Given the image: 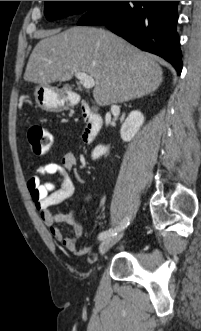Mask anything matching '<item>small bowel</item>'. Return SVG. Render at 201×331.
<instances>
[{
	"instance_id": "small-bowel-1",
	"label": "small bowel",
	"mask_w": 201,
	"mask_h": 331,
	"mask_svg": "<svg viewBox=\"0 0 201 331\" xmlns=\"http://www.w3.org/2000/svg\"><path fill=\"white\" fill-rule=\"evenodd\" d=\"M77 158L73 153L66 154L60 163L47 162L36 168L33 175L27 181V189L30 196L40 212L43 223L49 228L52 236L59 241L68 251L82 256L89 252V248H80L77 245L78 239L83 233V224L78 212L72 210L67 214H53L52 206L70 198L74 193V184L70 173L73 171ZM55 175L56 181H43L46 176ZM81 182L85 178L79 177ZM93 197L88 193L83 199V205L88 204ZM71 225L74 229L73 235L67 237L59 228V224Z\"/></svg>"
}]
</instances>
